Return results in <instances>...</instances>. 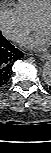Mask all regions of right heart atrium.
I'll use <instances>...</instances> for the list:
<instances>
[{
  "label": "right heart atrium",
  "instance_id": "right-heart-atrium-1",
  "mask_svg": "<svg viewBox=\"0 0 51 153\" xmlns=\"http://www.w3.org/2000/svg\"><path fill=\"white\" fill-rule=\"evenodd\" d=\"M17 5L2 3L0 6V29L10 40L18 41L34 29Z\"/></svg>",
  "mask_w": 51,
  "mask_h": 153
}]
</instances>
